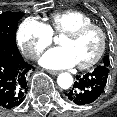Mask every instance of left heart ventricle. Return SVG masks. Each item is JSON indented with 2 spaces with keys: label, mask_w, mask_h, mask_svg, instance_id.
Wrapping results in <instances>:
<instances>
[{
  "label": "left heart ventricle",
  "mask_w": 117,
  "mask_h": 117,
  "mask_svg": "<svg viewBox=\"0 0 117 117\" xmlns=\"http://www.w3.org/2000/svg\"><path fill=\"white\" fill-rule=\"evenodd\" d=\"M100 43L101 37L96 30H90L78 38L63 36L60 39V44L72 52L77 64L86 63L93 58Z\"/></svg>",
  "instance_id": "b2bd125f"
}]
</instances>
